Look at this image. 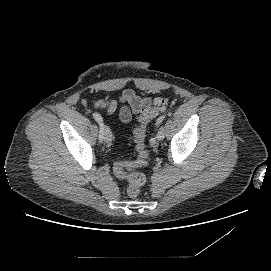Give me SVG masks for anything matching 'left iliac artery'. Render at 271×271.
I'll return each instance as SVG.
<instances>
[{"mask_svg":"<svg viewBox=\"0 0 271 271\" xmlns=\"http://www.w3.org/2000/svg\"><path fill=\"white\" fill-rule=\"evenodd\" d=\"M165 117H166L165 114L162 115V116H160V117L157 119V121H156V123H155V126L158 127V126L163 122V120L165 119ZM155 143H156V138H155V137H152V138L150 139V144H151V145H154Z\"/></svg>","mask_w":271,"mask_h":271,"instance_id":"left-iliac-artery-1","label":"left iliac artery"}]
</instances>
